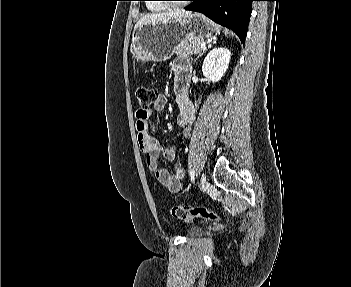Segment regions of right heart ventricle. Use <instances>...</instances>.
Segmentation results:
<instances>
[{"instance_id": "e07e8e85", "label": "right heart ventricle", "mask_w": 351, "mask_h": 287, "mask_svg": "<svg viewBox=\"0 0 351 287\" xmlns=\"http://www.w3.org/2000/svg\"><path fill=\"white\" fill-rule=\"evenodd\" d=\"M147 7L150 11L153 12H159L165 9L162 5L156 3H148Z\"/></svg>"}]
</instances>
